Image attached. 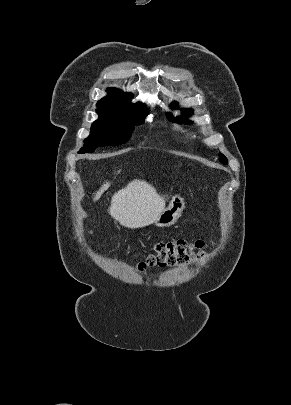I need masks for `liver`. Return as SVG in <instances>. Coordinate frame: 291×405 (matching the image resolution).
Listing matches in <instances>:
<instances>
[{
    "instance_id": "1",
    "label": "liver",
    "mask_w": 291,
    "mask_h": 405,
    "mask_svg": "<svg viewBox=\"0 0 291 405\" xmlns=\"http://www.w3.org/2000/svg\"><path fill=\"white\" fill-rule=\"evenodd\" d=\"M109 186V182L103 184L94 201H97ZM165 202V197L160 196L152 185L135 179L112 196L109 214L124 227L143 228L156 221L165 209Z\"/></svg>"
}]
</instances>
